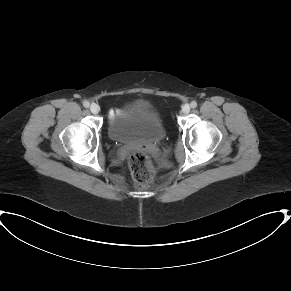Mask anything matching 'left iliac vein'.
I'll return each mask as SVG.
<instances>
[{
	"label": "left iliac vein",
	"mask_w": 291,
	"mask_h": 291,
	"mask_svg": "<svg viewBox=\"0 0 291 291\" xmlns=\"http://www.w3.org/2000/svg\"><path fill=\"white\" fill-rule=\"evenodd\" d=\"M182 112H183L184 114H188V113L190 112V106H189V104H185V105H183V107H182Z\"/></svg>",
	"instance_id": "obj_1"
}]
</instances>
